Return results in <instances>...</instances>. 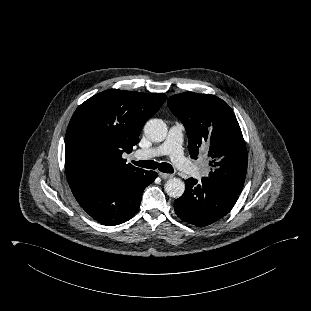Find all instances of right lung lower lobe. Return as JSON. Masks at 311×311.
<instances>
[{"label": "right lung lower lobe", "instance_id": "1", "mask_svg": "<svg viewBox=\"0 0 311 311\" xmlns=\"http://www.w3.org/2000/svg\"><path fill=\"white\" fill-rule=\"evenodd\" d=\"M156 177V172L145 170L126 177L97 173L68 183L87 214L101 224L113 226L136 214L143 190Z\"/></svg>", "mask_w": 311, "mask_h": 311}]
</instances>
